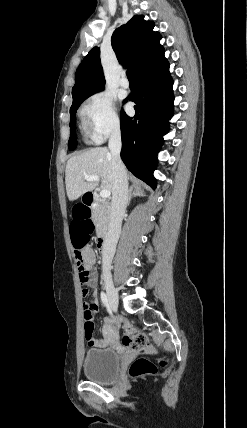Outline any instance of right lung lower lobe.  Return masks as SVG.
Wrapping results in <instances>:
<instances>
[{"label": "right lung lower lobe", "mask_w": 247, "mask_h": 428, "mask_svg": "<svg viewBox=\"0 0 247 428\" xmlns=\"http://www.w3.org/2000/svg\"><path fill=\"white\" fill-rule=\"evenodd\" d=\"M134 76L136 88L129 100L136 104L135 116L121 110V158L129 171L155 189L157 154L173 116V80L164 56Z\"/></svg>", "instance_id": "right-lung-lower-lobe-1"}]
</instances>
